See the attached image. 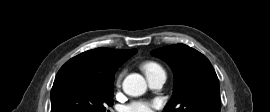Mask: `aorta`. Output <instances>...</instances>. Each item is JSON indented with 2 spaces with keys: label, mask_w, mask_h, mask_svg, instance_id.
<instances>
[{
  "label": "aorta",
  "mask_w": 270,
  "mask_h": 112,
  "mask_svg": "<svg viewBox=\"0 0 270 112\" xmlns=\"http://www.w3.org/2000/svg\"><path fill=\"white\" fill-rule=\"evenodd\" d=\"M146 89V81L140 74H129L123 81V90L127 95L140 96L145 93Z\"/></svg>",
  "instance_id": "762f6f07"
}]
</instances>
